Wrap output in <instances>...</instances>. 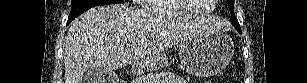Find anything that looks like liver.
<instances>
[{
	"mask_svg": "<svg viewBox=\"0 0 307 83\" xmlns=\"http://www.w3.org/2000/svg\"><path fill=\"white\" fill-rule=\"evenodd\" d=\"M220 29L210 16L122 5L94 7L70 24L64 50L65 83H82L89 69L113 71L144 63L175 43Z\"/></svg>",
	"mask_w": 307,
	"mask_h": 83,
	"instance_id": "liver-1",
	"label": "liver"
}]
</instances>
